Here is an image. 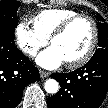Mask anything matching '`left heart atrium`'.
<instances>
[{
	"label": "left heart atrium",
	"mask_w": 108,
	"mask_h": 108,
	"mask_svg": "<svg viewBox=\"0 0 108 108\" xmlns=\"http://www.w3.org/2000/svg\"><path fill=\"white\" fill-rule=\"evenodd\" d=\"M36 62L47 69H54L64 63L62 55L55 47H49L36 58Z\"/></svg>",
	"instance_id": "39dd6f15"
}]
</instances>
